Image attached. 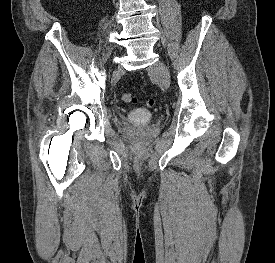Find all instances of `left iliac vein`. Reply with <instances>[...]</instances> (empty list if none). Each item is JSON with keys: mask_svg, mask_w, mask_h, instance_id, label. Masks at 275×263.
Returning a JSON list of instances; mask_svg holds the SVG:
<instances>
[{"mask_svg": "<svg viewBox=\"0 0 275 263\" xmlns=\"http://www.w3.org/2000/svg\"><path fill=\"white\" fill-rule=\"evenodd\" d=\"M149 70L156 74L160 83L165 88L170 85V75L167 66L162 61H157L149 67Z\"/></svg>", "mask_w": 275, "mask_h": 263, "instance_id": "1", "label": "left iliac vein"}]
</instances>
